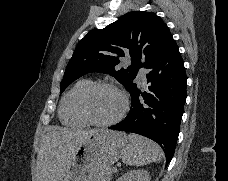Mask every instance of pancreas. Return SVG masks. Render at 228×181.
<instances>
[{"label": "pancreas", "mask_w": 228, "mask_h": 181, "mask_svg": "<svg viewBox=\"0 0 228 181\" xmlns=\"http://www.w3.org/2000/svg\"><path fill=\"white\" fill-rule=\"evenodd\" d=\"M108 177H106V179H108V181H111L112 179V169H108V171H106Z\"/></svg>", "instance_id": "pancreas-1"}]
</instances>
